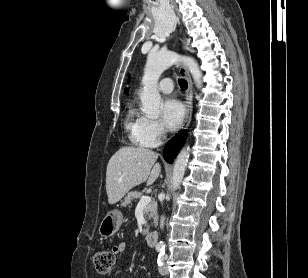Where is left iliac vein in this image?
<instances>
[{"label": "left iliac vein", "instance_id": "4c4485c4", "mask_svg": "<svg viewBox=\"0 0 308 278\" xmlns=\"http://www.w3.org/2000/svg\"><path fill=\"white\" fill-rule=\"evenodd\" d=\"M159 272L161 275H167L168 274V268L167 265L164 263L159 267Z\"/></svg>", "mask_w": 308, "mask_h": 278}]
</instances>
